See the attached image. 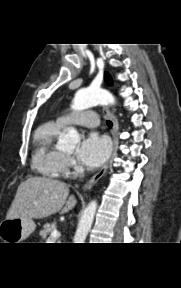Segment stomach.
<instances>
[{"label":"stomach","mask_w":181,"mask_h":288,"mask_svg":"<svg viewBox=\"0 0 181 288\" xmlns=\"http://www.w3.org/2000/svg\"><path fill=\"white\" fill-rule=\"evenodd\" d=\"M35 227L30 218L5 219L0 223V239L4 243H21L33 233Z\"/></svg>","instance_id":"0dacf381"}]
</instances>
